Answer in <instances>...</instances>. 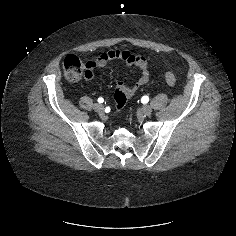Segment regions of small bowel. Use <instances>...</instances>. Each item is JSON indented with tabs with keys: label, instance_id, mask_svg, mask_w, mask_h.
<instances>
[{
	"label": "small bowel",
	"instance_id": "small-bowel-1",
	"mask_svg": "<svg viewBox=\"0 0 236 236\" xmlns=\"http://www.w3.org/2000/svg\"><path fill=\"white\" fill-rule=\"evenodd\" d=\"M121 60L128 67H138L140 74L134 79L131 85H126L123 81L118 80L115 83V93L122 92L126 100L134 95V93L149 80L148 61L143 54L134 53L128 50H109L101 53L97 58L87 62L88 67L93 72L97 69L104 68L109 62ZM116 110H121L124 106H119L115 101Z\"/></svg>",
	"mask_w": 236,
	"mask_h": 236
}]
</instances>
